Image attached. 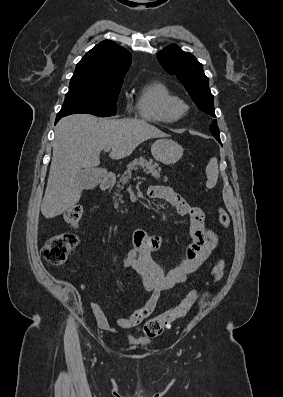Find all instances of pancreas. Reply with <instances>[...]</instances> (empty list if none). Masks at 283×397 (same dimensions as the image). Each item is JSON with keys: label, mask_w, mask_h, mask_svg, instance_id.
Masks as SVG:
<instances>
[{"label": "pancreas", "mask_w": 283, "mask_h": 397, "mask_svg": "<svg viewBox=\"0 0 283 397\" xmlns=\"http://www.w3.org/2000/svg\"><path fill=\"white\" fill-rule=\"evenodd\" d=\"M139 168L143 169V172L146 174H151L152 177L156 179L161 178V168L158 167V164L153 162L152 159H146L144 157H140L138 159L133 160L131 163L127 165L125 172L122 174L118 181L117 187L119 190L124 189V186L128 183L131 178L132 171L138 170ZM164 182H167V178H164ZM118 190V192H119Z\"/></svg>", "instance_id": "pancreas-1"}]
</instances>
